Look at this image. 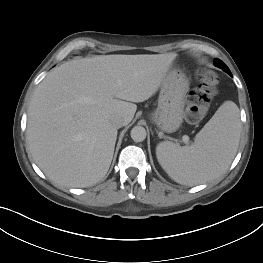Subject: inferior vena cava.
<instances>
[{
	"instance_id": "obj_1",
	"label": "inferior vena cava",
	"mask_w": 263,
	"mask_h": 263,
	"mask_svg": "<svg viewBox=\"0 0 263 263\" xmlns=\"http://www.w3.org/2000/svg\"><path fill=\"white\" fill-rule=\"evenodd\" d=\"M112 123L115 127L120 128L124 125V120L120 116H116L112 119Z\"/></svg>"
}]
</instances>
